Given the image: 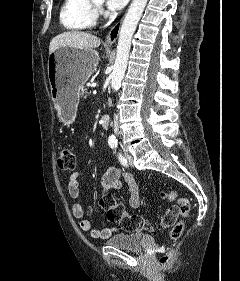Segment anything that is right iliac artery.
Segmentation results:
<instances>
[{
    "label": "right iliac artery",
    "mask_w": 240,
    "mask_h": 281,
    "mask_svg": "<svg viewBox=\"0 0 240 281\" xmlns=\"http://www.w3.org/2000/svg\"><path fill=\"white\" fill-rule=\"evenodd\" d=\"M110 147L111 148H116L117 147V143L116 142H111L110 143Z\"/></svg>",
    "instance_id": "82829eb1"
}]
</instances>
